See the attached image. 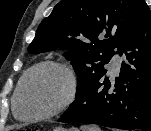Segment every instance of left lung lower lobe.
<instances>
[{"label": "left lung lower lobe", "instance_id": "1", "mask_svg": "<svg viewBox=\"0 0 151 131\" xmlns=\"http://www.w3.org/2000/svg\"><path fill=\"white\" fill-rule=\"evenodd\" d=\"M123 53L119 77L111 81L106 72L95 79L59 122L151 131V11L145 2Z\"/></svg>", "mask_w": 151, "mask_h": 131}]
</instances>
